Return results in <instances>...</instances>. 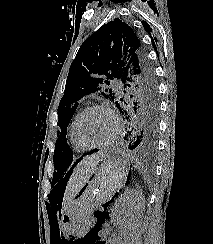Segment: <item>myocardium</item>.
<instances>
[{
    "instance_id": "1",
    "label": "myocardium",
    "mask_w": 213,
    "mask_h": 244,
    "mask_svg": "<svg viewBox=\"0 0 213 244\" xmlns=\"http://www.w3.org/2000/svg\"><path fill=\"white\" fill-rule=\"evenodd\" d=\"M92 110L105 111L111 117V119L114 123V131H113L111 137L101 143H89L80 134V124H81L83 118L85 117V115ZM120 131H121L120 120L118 119V117L116 116L114 111L107 104H103V103L93 104V105L86 107L84 110H82L79 113V115L75 121V125H74V134H75L77 140L88 149H101V148L110 146L111 144H113L116 141V139L118 138V136L120 134Z\"/></svg>"
}]
</instances>
